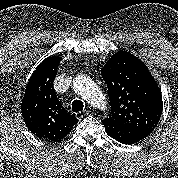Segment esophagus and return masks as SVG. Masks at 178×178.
Instances as JSON below:
<instances>
[{
    "mask_svg": "<svg viewBox=\"0 0 178 178\" xmlns=\"http://www.w3.org/2000/svg\"><path fill=\"white\" fill-rule=\"evenodd\" d=\"M88 114H89V111L88 110H84L82 112H76L75 116H76L77 119H81V118H83L84 116H86Z\"/></svg>",
    "mask_w": 178,
    "mask_h": 178,
    "instance_id": "esophagus-1",
    "label": "esophagus"
}]
</instances>
